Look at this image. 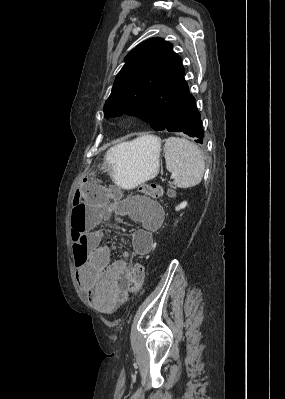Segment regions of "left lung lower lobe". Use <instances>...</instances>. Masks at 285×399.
Segmentation results:
<instances>
[{
    "instance_id": "left-lung-lower-lobe-1",
    "label": "left lung lower lobe",
    "mask_w": 285,
    "mask_h": 399,
    "mask_svg": "<svg viewBox=\"0 0 285 399\" xmlns=\"http://www.w3.org/2000/svg\"><path fill=\"white\" fill-rule=\"evenodd\" d=\"M163 130L181 132L197 138L196 142L203 143L204 130L201 116L188 86L182 91L174 104Z\"/></svg>"
}]
</instances>
